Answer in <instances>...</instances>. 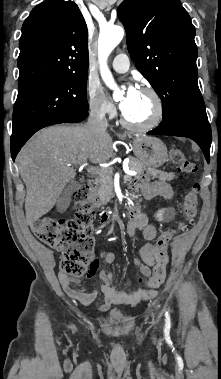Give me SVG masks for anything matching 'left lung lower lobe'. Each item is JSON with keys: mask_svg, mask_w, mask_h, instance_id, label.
Returning a JSON list of instances; mask_svg holds the SVG:
<instances>
[{"mask_svg": "<svg viewBox=\"0 0 221 379\" xmlns=\"http://www.w3.org/2000/svg\"><path fill=\"white\" fill-rule=\"evenodd\" d=\"M149 135H171L188 137L202 149L207 162L210 160L211 127L207 117L186 113L172 112L158 127L149 131Z\"/></svg>", "mask_w": 221, "mask_h": 379, "instance_id": "left-lung-lower-lobe-1", "label": "left lung lower lobe"}]
</instances>
